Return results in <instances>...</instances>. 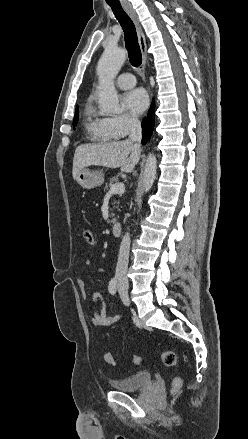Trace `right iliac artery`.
Wrapping results in <instances>:
<instances>
[{
	"mask_svg": "<svg viewBox=\"0 0 248 439\" xmlns=\"http://www.w3.org/2000/svg\"><path fill=\"white\" fill-rule=\"evenodd\" d=\"M108 290H109V292L112 295L116 294V291H117V281H116L115 278L111 279V281L109 282Z\"/></svg>",
	"mask_w": 248,
	"mask_h": 439,
	"instance_id": "right-iliac-artery-1",
	"label": "right iliac artery"
}]
</instances>
